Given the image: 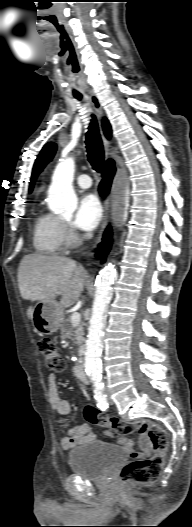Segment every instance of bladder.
I'll return each instance as SVG.
<instances>
[{
	"mask_svg": "<svg viewBox=\"0 0 192 527\" xmlns=\"http://www.w3.org/2000/svg\"><path fill=\"white\" fill-rule=\"evenodd\" d=\"M127 458L125 451L102 441L89 442L69 456V466L76 475L100 481Z\"/></svg>",
	"mask_w": 192,
	"mask_h": 527,
	"instance_id": "31cf9c89",
	"label": "bladder"
}]
</instances>
